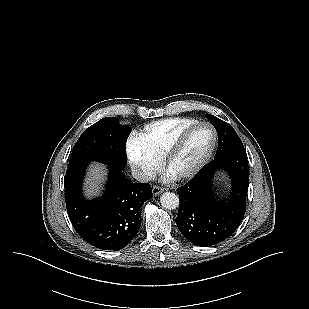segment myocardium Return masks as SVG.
Listing matches in <instances>:
<instances>
[{"instance_id": "1", "label": "myocardium", "mask_w": 309, "mask_h": 309, "mask_svg": "<svg viewBox=\"0 0 309 309\" xmlns=\"http://www.w3.org/2000/svg\"><path fill=\"white\" fill-rule=\"evenodd\" d=\"M199 126H206L210 129V131L212 133L211 145H210L209 149L207 150V152L204 154V156L196 164H194L192 167H190L189 169H187L185 171H182V172H179V173H176V174H172L173 177L177 180H187V179L194 177L196 174H198L204 168V166L208 163V161L210 160V158L212 157V155L215 151V148H216V145H217V140H218V135H217L216 129L214 128V126L211 123H209L207 121H196V122L192 123L191 125H189L187 128H185L183 130V132L171 144V146L169 147V149L167 150L166 154L163 157L164 169L166 171L170 172V167H171L173 160L178 155V153L183 149V147L185 146L186 142L188 141L193 130L196 127H199Z\"/></svg>"}]
</instances>
